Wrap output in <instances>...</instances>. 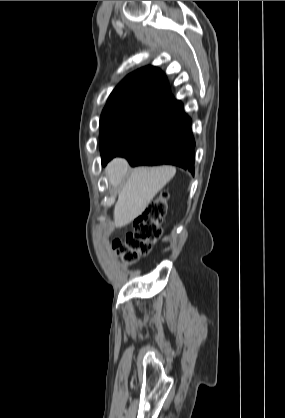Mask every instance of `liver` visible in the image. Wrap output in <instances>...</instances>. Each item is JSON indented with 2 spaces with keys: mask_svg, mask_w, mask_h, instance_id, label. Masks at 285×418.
<instances>
[{
  "mask_svg": "<svg viewBox=\"0 0 285 418\" xmlns=\"http://www.w3.org/2000/svg\"><path fill=\"white\" fill-rule=\"evenodd\" d=\"M129 164L124 158H114L105 168L112 187L119 190L114 207V224L124 227L140 216L155 195L173 178L172 166L138 167L125 181Z\"/></svg>",
  "mask_w": 285,
  "mask_h": 418,
  "instance_id": "1",
  "label": "liver"
}]
</instances>
